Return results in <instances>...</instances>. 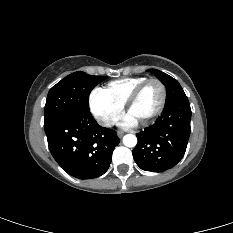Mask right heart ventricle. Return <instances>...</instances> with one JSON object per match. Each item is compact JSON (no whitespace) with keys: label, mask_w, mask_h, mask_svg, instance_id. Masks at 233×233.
<instances>
[{"label":"right heart ventricle","mask_w":233,"mask_h":233,"mask_svg":"<svg viewBox=\"0 0 233 233\" xmlns=\"http://www.w3.org/2000/svg\"><path fill=\"white\" fill-rule=\"evenodd\" d=\"M147 79L146 77H132L114 80L109 82L103 90L113 102L124 107L133 90Z\"/></svg>","instance_id":"e07e8e85"}]
</instances>
